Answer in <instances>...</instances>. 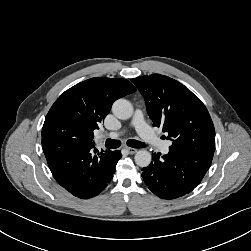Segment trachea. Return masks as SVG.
I'll return each instance as SVG.
<instances>
[{
    "mask_svg": "<svg viewBox=\"0 0 251 251\" xmlns=\"http://www.w3.org/2000/svg\"><path fill=\"white\" fill-rule=\"evenodd\" d=\"M121 145L119 140L107 139L105 141V147L108 149H115ZM127 145L132 148H144L146 145L140 141L129 139L127 140Z\"/></svg>",
    "mask_w": 251,
    "mask_h": 251,
    "instance_id": "obj_1",
    "label": "trachea"
}]
</instances>
